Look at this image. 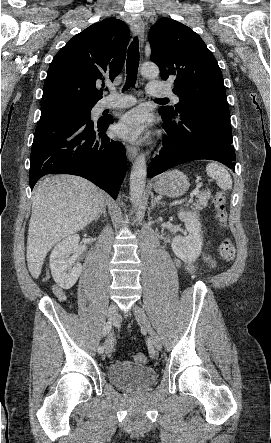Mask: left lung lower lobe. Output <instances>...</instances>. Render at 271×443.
Listing matches in <instances>:
<instances>
[{"label": "left lung lower lobe", "instance_id": "1", "mask_svg": "<svg viewBox=\"0 0 271 443\" xmlns=\"http://www.w3.org/2000/svg\"><path fill=\"white\" fill-rule=\"evenodd\" d=\"M167 132L163 148L149 164L148 177L199 159L219 161L235 169V151L228 105L205 100L200 107L173 115L159 109Z\"/></svg>", "mask_w": 271, "mask_h": 443}]
</instances>
